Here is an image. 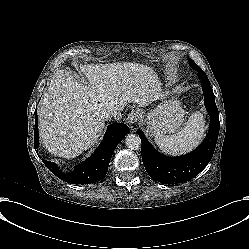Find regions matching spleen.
<instances>
[{
  "label": "spleen",
  "mask_w": 249,
  "mask_h": 249,
  "mask_svg": "<svg viewBox=\"0 0 249 249\" xmlns=\"http://www.w3.org/2000/svg\"><path fill=\"white\" fill-rule=\"evenodd\" d=\"M205 132V120L201 112L193 113L186 126L172 135L155 137L154 141L162 152L178 156L190 152L202 140Z\"/></svg>",
  "instance_id": "3e777b00"
}]
</instances>
